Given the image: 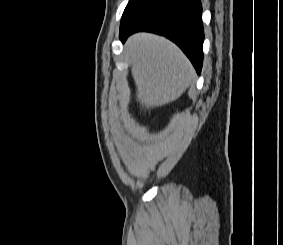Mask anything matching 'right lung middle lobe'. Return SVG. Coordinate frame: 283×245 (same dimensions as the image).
<instances>
[{"mask_svg":"<svg viewBox=\"0 0 283 245\" xmlns=\"http://www.w3.org/2000/svg\"><path fill=\"white\" fill-rule=\"evenodd\" d=\"M151 0H130L127 4L124 13L122 15L121 23L129 20L135 15L141 8L147 5Z\"/></svg>","mask_w":283,"mask_h":245,"instance_id":"1","label":"right lung middle lobe"}]
</instances>
